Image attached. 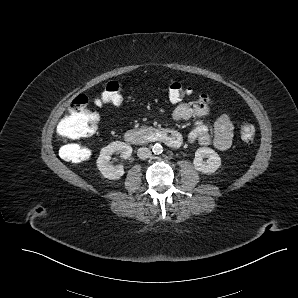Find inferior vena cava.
Segmentation results:
<instances>
[{
  "instance_id": "inferior-vena-cava-1",
  "label": "inferior vena cava",
  "mask_w": 298,
  "mask_h": 298,
  "mask_svg": "<svg viewBox=\"0 0 298 298\" xmlns=\"http://www.w3.org/2000/svg\"><path fill=\"white\" fill-rule=\"evenodd\" d=\"M150 155H151V151H150V149H148L146 147H140L137 150V156L140 159H147L150 157Z\"/></svg>"
}]
</instances>
